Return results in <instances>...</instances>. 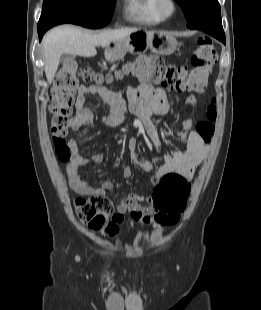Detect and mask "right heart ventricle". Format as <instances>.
<instances>
[{"instance_id":"1","label":"right heart ventricle","mask_w":261,"mask_h":310,"mask_svg":"<svg viewBox=\"0 0 261 310\" xmlns=\"http://www.w3.org/2000/svg\"><path fill=\"white\" fill-rule=\"evenodd\" d=\"M124 13L129 21L140 25L152 26L163 21L155 0H125Z\"/></svg>"}]
</instances>
